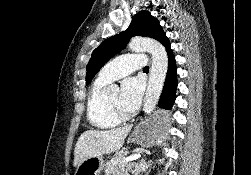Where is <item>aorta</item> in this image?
<instances>
[{
	"mask_svg": "<svg viewBox=\"0 0 251 175\" xmlns=\"http://www.w3.org/2000/svg\"><path fill=\"white\" fill-rule=\"evenodd\" d=\"M128 48L131 52H150L152 56L149 82L143 107L145 113H151L164 86L168 70L167 52L159 42H156V40H148V38H132L128 44ZM110 88H117V86L111 84Z\"/></svg>",
	"mask_w": 251,
	"mask_h": 175,
	"instance_id": "obj_1",
	"label": "aorta"
}]
</instances>
